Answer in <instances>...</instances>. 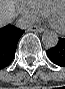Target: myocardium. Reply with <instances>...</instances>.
I'll use <instances>...</instances> for the list:
<instances>
[{
	"mask_svg": "<svg viewBox=\"0 0 65 89\" xmlns=\"http://www.w3.org/2000/svg\"><path fill=\"white\" fill-rule=\"evenodd\" d=\"M59 5H63L65 7V4L63 3V1L61 0H58V1H54L52 3H50L46 9V13H47V16L51 19V15H52V12L53 10L59 6ZM57 30L58 31H64L65 30V27H58L56 26Z\"/></svg>",
	"mask_w": 65,
	"mask_h": 89,
	"instance_id": "myocardium-1",
	"label": "myocardium"
}]
</instances>
